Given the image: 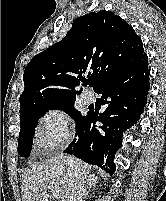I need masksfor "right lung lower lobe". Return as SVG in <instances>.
<instances>
[{"label": "right lung lower lobe", "mask_w": 166, "mask_h": 201, "mask_svg": "<svg viewBox=\"0 0 166 201\" xmlns=\"http://www.w3.org/2000/svg\"><path fill=\"white\" fill-rule=\"evenodd\" d=\"M149 74L145 54L137 64L104 81L95 92L102 94L105 111L99 117L89 112L76 130L77 138L64 152L112 175L116 170L115 153L122 146V134L139 119L147 104ZM97 121L102 123L98 128Z\"/></svg>", "instance_id": "right-lung-lower-lobe-1"}]
</instances>
